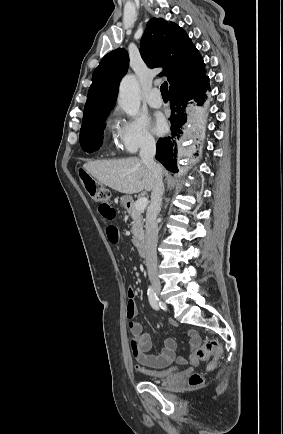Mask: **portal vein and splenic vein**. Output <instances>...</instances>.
Masks as SVG:
<instances>
[{
    "label": "portal vein and splenic vein",
    "instance_id": "1",
    "mask_svg": "<svg viewBox=\"0 0 283 434\" xmlns=\"http://www.w3.org/2000/svg\"><path fill=\"white\" fill-rule=\"evenodd\" d=\"M147 204H148L147 198L141 197L136 201L135 208L137 210L143 211L146 208Z\"/></svg>",
    "mask_w": 283,
    "mask_h": 434
}]
</instances>
